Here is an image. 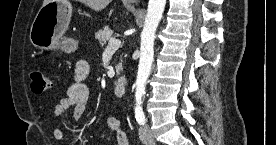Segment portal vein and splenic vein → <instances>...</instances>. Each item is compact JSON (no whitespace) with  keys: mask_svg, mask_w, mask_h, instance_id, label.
Returning <instances> with one entry per match:
<instances>
[{"mask_svg":"<svg viewBox=\"0 0 276 145\" xmlns=\"http://www.w3.org/2000/svg\"><path fill=\"white\" fill-rule=\"evenodd\" d=\"M121 45V41L116 39V38H111L109 40L108 46L106 48V50H112L115 51L117 50Z\"/></svg>","mask_w":276,"mask_h":145,"instance_id":"obj_1","label":"portal vein and splenic vein"}]
</instances>
